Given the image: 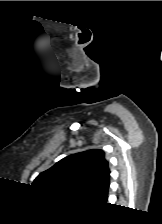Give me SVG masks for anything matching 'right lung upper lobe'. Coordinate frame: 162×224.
<instances>
[{
  "instance_id": "cb5924a9",
  "label": "right lung upper lobe",
  "mask_w": 162,
  "mask_h": 224,
  "mask_svg": "<svg viewBox=\"0 0 162 224\" xmlns=\"http://www.w3.org/2000/svg\"><path fill=\"white\" fill-rule=\"evenodd\" d=\"M110 170L99 149L69 155L33 182L36 187L80 197L88 204L105 203L108 198Z\"/></svg>"
}]
</instances>
